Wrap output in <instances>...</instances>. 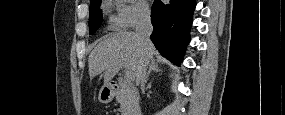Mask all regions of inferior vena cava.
I'll use <instances>...</instances> for the list:
<instances>
[{
    "instance_id": "602c4592",
    "label": "inferior vena cava",
    "mask_w": 285,
    "mask_h": 115,
    "mask_svg": "<svg viewBox=\"0 0 285 115\" xmlns=\"http://www.w3.org/2000/svg\"><path fill=\"white\" fill-rule=\"evenodd\" d=\"M152 31H153V26L151 24L150 15L145 14L141 16L137 23L135 34L139 42L144 47H147L151 44L150 35ZM147 65H148V62L147 60H145L144 63L139 68V71L137 73V82L140 84L142 91L145 86Z\"/></svg>"
}]
</instances>
